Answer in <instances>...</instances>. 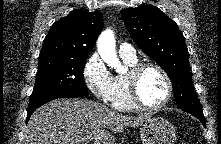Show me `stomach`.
<instances>
[{
  "instance_id": "1",
  "label": "stomach",
  "mask_w": 221,
  "mask_h": 144,
  "mask_svg": "<svg viewBox=\"0 0 221 144\" xmlns=\"http://www.w3.org/2000/svg\"><path fill=\"white\" fill-rule=\"evenodd\" d=\"M142 144H174L176 132L174 126L165 118H149L140 128Z\"/></svg>"
}]
</instances>
